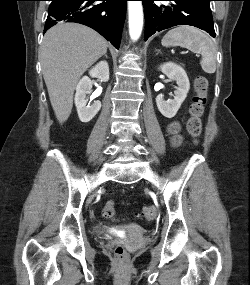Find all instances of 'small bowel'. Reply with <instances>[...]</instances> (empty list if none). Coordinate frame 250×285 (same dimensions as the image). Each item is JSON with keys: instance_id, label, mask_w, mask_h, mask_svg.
I'll use <instances>...</instances> for the list:
<instances>
[{"instance_id": "c3829d8e", "label": "small bowel", "mask_w": 250, "mask_h": 285, "mask_svg": "<svg viewBox=\"0 0 250 285\" xmlns=\"http://www.w3.org/2000/svg\"><path fill=\"white\" fill-rule=\"evenodd\" d=\"M180 131V125L177 121L172 122L168 126V132L171 136V144L173 146H178L180 145L182 138L181 135L179 134Z\"/></svg>"}]
</instances>
